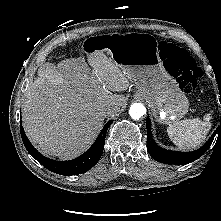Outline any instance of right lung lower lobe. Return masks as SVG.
Here are the masks:
<instances>
[{
    "label": "right lung lower lobe",
    "instance_id": "right-lung-lower-lobe-1",
    "mask_svg": "<svg viewBox=\"0 0 221 221\" xmlns=\"http://www.w3.org/2000/svg\"><path fill=\"white\" fill-rule=\"evenodd\" d=\"M111 123L112 120L103 127L94 144L84 154L70 161H56L46 158L32 146L27 136L25 135L22 125H20V132L27 151L44 167L54 173L61 175H78L86 172L99 161L104 149L106 132Z\"/></svg>",
    "mask_w": 221,
    "mask_h": 221
}]
</instances>
